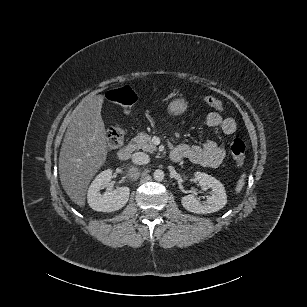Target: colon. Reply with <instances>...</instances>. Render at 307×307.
Segmentation results:
<instances>
[{
	"instance_id": "5ec220e1",
	"label": "colon",
	"mask_w": 307,
	"mask_h": 307,
	"mask_svg": "<svg viewBox=\"0 0 307 307\" xmlns=\"http://www.w3.org/2000/svg\"><path fill=\"white\" fill-rule=\"evenodd\" d=\"M105 98L107 101L118 104L124 107L126 110L131 109L137 100L135 91L129 86H122L109 90ZM204 102L216 110L222 111L224 106L221 100L214 96H205ZM126 129L120 126L111 127L107 132V146L110 149L120 147L126 137ZM231 153L235 162L236 168L243 167L245 162V150L246 146L244 142L239 138H234L231 142Z\"/></svg>"
}]
</instances>
